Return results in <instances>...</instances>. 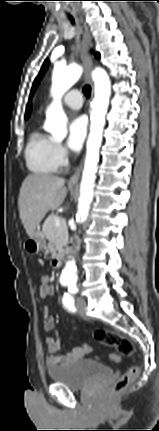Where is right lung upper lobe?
Wrapping results in <instances>:
<instances>
[{"label": "right lung upper lobe", "mask_w": 159, "mask_h": 431, "mask_svg": "<svg viewBox=\"0 0 159 431\" xmlns=\"http://www.w3.org/2000/svg\"><path fill=\"white\" fill-rule=\"evenodd\" d=\"M30 115V106H27L25 118L27 119Z\"/></svg>", "instance_id": "right-lung-upper-lobe-1"}]
</instances>
